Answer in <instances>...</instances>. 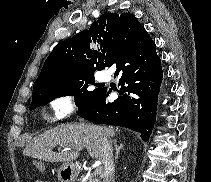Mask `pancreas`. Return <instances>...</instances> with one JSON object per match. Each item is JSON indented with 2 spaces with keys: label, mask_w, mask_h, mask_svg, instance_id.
Here are the masks:
<instances>
[{
  "label": "pancreas",
  "mask_w": 211,
  "mask_h": 182,
  "mask_svg": "<svg viewBox=\"0 0 211 182\" xmlns=\"http://www.w3.org/2000/svg\"><path fill=\"white\" fill-rule=\"evenodd\" d=\"M79 182H101L100 178L97 176L96 172L90 173L88 175H82Z\"/></svg>",
  "instance_id": "pancreas-1"
}]
</instances>
